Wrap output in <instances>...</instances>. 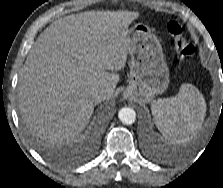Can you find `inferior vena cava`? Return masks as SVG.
Wrapping results in <instances>:
<instances>
[{
    "label": "inferior vena cava",
    "instance_id": "1",
    "mask_svg": "<svg viewBox=\"0 0 223 188\" xmlns=\"http://www.w3.org/2000/svg\"><path fill=\"white\" fill-rule=\"evenodd\" d=\"M108 98V93L106 90H95L91 93V99L94 102V104H99L102 101L106 100Z\"/></svg>",
    "mask_w": 223,
    "mask_h": 188
}]
</instances>
